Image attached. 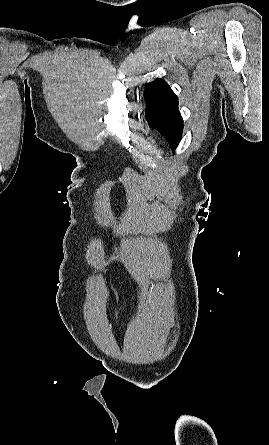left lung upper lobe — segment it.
Instances as JSON below:
<instances>
[{
	"mask_svg": "<svg viewBox=\"0 0 269 445\" xmlns=\"http://www.w3.org/2000/svg\"><path fill=\"white\" fill-rule=\"evenodd\" d=\"M144 96L147 102L146 118L150 126L158 129L174 151L183 131V119L178 110L177 96L162 79L151 82L145 88Z\"/></svg>",
	"mask_w": 269,
	"mask_h": 445,
	"instance_id": "left-lung-upper-lobe-1",
	"label": "left lung upper lobe"
}]
</instances>
